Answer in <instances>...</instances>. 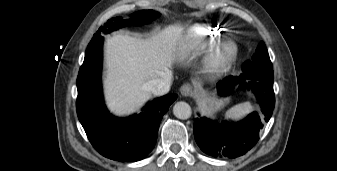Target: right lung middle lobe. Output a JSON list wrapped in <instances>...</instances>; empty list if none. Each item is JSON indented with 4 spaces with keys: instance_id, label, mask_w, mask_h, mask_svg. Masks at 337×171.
Returning <instances> with one entry per match:
<instances>
[{
    "instance_id": "obj_1",
    "label": "right lung middle lobe",
    "mask_w": 337,
    "mask_h": 171,
    "mask_svg": "<svg viewBox=\"0 0 337 171\" xmlns=\"http://www.w3.org/2000/svg\"><path fill=\"white\" fill-rule=\"evenodd\" d=\"M160 14L158 12H155L153 10H141L134 12L131 14V21L133 24H144L148 23L152 20H154L156 17H158ZM128 21L122 20L121 17H116L113 19H109L104 26L100 27L96 34H94L93 37L100 35L102 31H105V33L116 30L120 27L127 26ZM106 28H109L106 30Z\"/></svg>"
}]
</instances>
